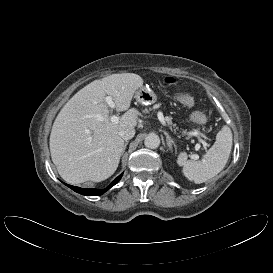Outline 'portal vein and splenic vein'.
<instances>
[{
  "label": "portal vein and splenic vein",
  "instance_id": "18ae733b",
  "mask_svg": "<svg viewBox=\"0 0 273 273\" xmlns=\"http://www.w3.org/2000/svg\"><path fill=\"white\" fill-rule=\"evenodd\" d=\"M105 102L107 103V105H108L109 107L115 108V103H114V101H113V99H112L111 96H107V97L105 98ZM157 116H158V119H159V121L161 122V124L165 126L166 123H165V119H164L163 114H162L161 112H159ZM111 121H112L113 123H117V122H118V117L115 116V115L111 116ZM188 135H189V136H195V137H197L200 143L205 144V141H203V140L201 139L199 132H197V131H190V132H188ZM196 147H197V148H200V145L197 144ZM191 157H192L193 159H198V155H197V154H192Z\"/></svg>",
  "mask_w": 273,
  "mask_h": 273
}]
</instances>
